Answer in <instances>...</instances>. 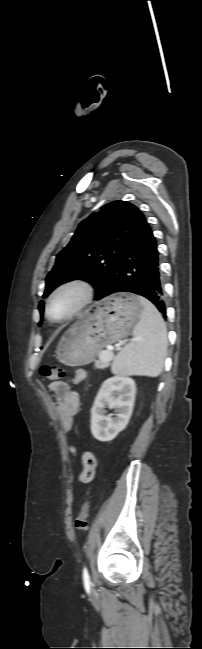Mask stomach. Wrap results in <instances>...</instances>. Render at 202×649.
Returning <instances> with one entry per match:
<instances>
[{"label":"stomach","mask_w":202,"mask_h":649,"mask_svg":"<svg viewBox=\"0 0 202 649\" xmlns=\"http://www.w3.org/2000/svg\"><path fill=\"white\" fill-rule=\"evenodd\" d=\"M143 307L137 295L123 293L95 304L89 313L75 322L61 337L56 358L68 366L92 362L105 346L126 337L138 323Z\"/></svg>","instance_id":"stomach-1"}]
</instances>
